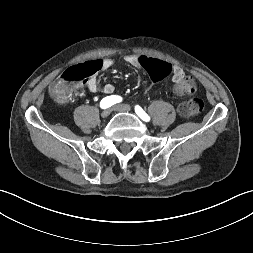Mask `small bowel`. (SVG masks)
<instances>
[{
	"label": "small bowel",
	"mask_w": 253,
	"mask_h": 253,
	"mask_svg": "<svg viewBox=\"0 0 253 253\" xmlns=\"http://www.w3.org/2000/svg\"><path fill=\"white\" fill-rule=\"evenodd\" d=\"M138 55L141 54H130V55H126L124 57V60L126 63H128L129 65L135 67V68H141V64H138L136 62V57ZM146 56V55H145ZM148 57V56H146ZM99 63V70H108L110 69L113 65H114V60L112 58H105L102 60H97ZM171 66V65H170ZM171 73H172V80L174 82H177L183 75H184V70L180 67V66H171ZM85 86L88 88V90L90 92H96L98 90V81L97 78L95 76L90 77L86 82H85ZM115 91V87L108 83L105 84L103 87V92L105 94H113Z\"/></svg>",
	"instance_id": "obj_1"
}]
</instances>
